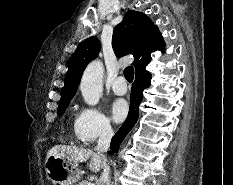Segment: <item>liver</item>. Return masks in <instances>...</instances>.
I'll return each mask as SVG.
<instances>
[{"label":"liver","instance_id":"obj_1","mask_svg":"<svg viewBox=\"0 0 233 185\" xmlns=\"http://www.w3.org/2000/svg\"><path fill=\"white\" fill-rule=\"evenodd\" d=\"M52 155L65 158L76 166L78 163L86 162L91 158L89 169L95 173L99 172L106 164V160L101 153L76 146L55 145L48 151L47 157Z\"/></svg>","mask_w":233,"mask_h":185}]
</instances>
